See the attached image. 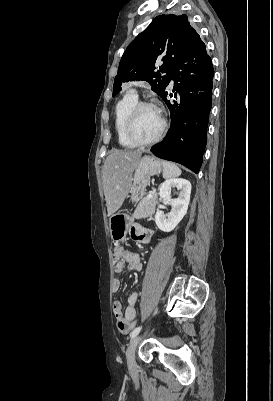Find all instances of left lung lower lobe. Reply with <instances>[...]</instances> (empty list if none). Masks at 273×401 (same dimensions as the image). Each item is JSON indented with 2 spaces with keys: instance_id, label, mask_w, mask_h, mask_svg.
Instances as JSON below:
<instances>
[{
  "instance_id": "1",
  "label": "left lung lower lobe",
  "mask_w": 273,
  "mask_h": 401,
  "mask_svg": "<svg viewBox=\"0 0 273 401\" xmlns=\"http://www.w3.org/2000/svg\"><path fill=\"white\" fill-rule=\"evenodd\" d=\"M213 76L212 60L200 39L173 66L170 81L174 80L178 101L171 104L167 92L161 96L170 109L171 127L164 140L151 148L157 157L180 163L195 173L200 170L207 143Z\"/></svg>"
}]
</instances>
